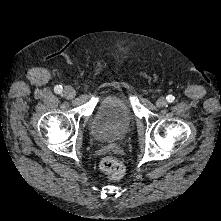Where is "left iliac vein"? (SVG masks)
I'll list each match as a JSON object with an SVG mask.
<instances>
[{"instance_id":"obj_1","label":"left iliac vein","mask_w":221,"mask_h":221,"mask_svg":"<svg viewBox=\"0 0 221 221\" xmlns=\"http://www.w3.org/2000/svg\"><path fill=\"white\" fill-rule=\"evenodd\" d=\"M167 104L166 99L164 97H160L157 101H156V105L158 107H164Z\"/></svg>"}]
</instances>
